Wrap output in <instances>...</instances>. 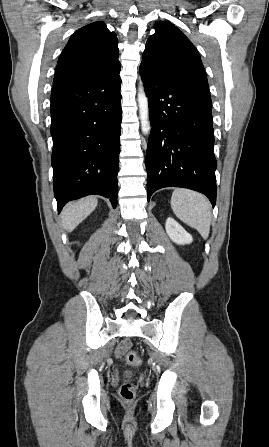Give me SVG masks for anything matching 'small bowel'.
Returning a JSON list of instances; mask_svg holds the SVG:
<instances>
[{
  "mask_svg": "<svg viewBox=\"0 0 269 447\" xmlns=\"http://www.w3.org/2000/svg\"><path fill=\"white\" fill-rule=\"evenodd\" d=\"M126 347V345H123L119 351H118V355L121 356L123 354L124 348Z\"/></svg>",
  "mask_w": 269,
  "mask_h": 447,
  "instance_id": "obj_1",
  "label": "small bowel"
}]
</instances>
